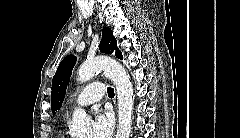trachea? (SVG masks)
Instances as JSON below:
<instances>
[{
	"label": "trachea",
	"mask_w": 240,
	"mask_h": 138,
	"mask_svg": "<svg viewBox=\"0 0 240 138\" xmlns=\"http://www.w3.org/2000/svg\"><path fill=\"white\" fill-rule=\"evenodd\" d=\"M107 93H108V96H109L110 98H113V97H114V89H113V88L108 87V88H107Z\"/></svg>",
	"instance_id": "obj_1"
}]
</instances>
